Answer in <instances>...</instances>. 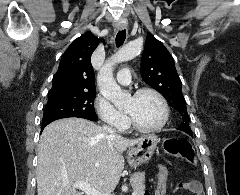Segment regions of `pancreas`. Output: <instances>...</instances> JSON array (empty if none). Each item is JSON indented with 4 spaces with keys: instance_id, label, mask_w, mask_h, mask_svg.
Returning a JSON list of instances; mask_svg holds the SVG:
<instances>
[{
    "instance_id": "cf45deb5",
    "label": "pancreas",
    "mask_w": 240,
    "mask_h": 195,
    "mask_svg": "<svg viewBox=\"0 0 240 195\" xmlns=\"http://www.w3.org/2000/svg\"><path fill=\"white\" fill-rule=\"evenodd\" d=\"M145 173L144 171H137L134 173L133 177H130V183L133 187V191L137 193V195H143L145 191Z\"/></svg>"
}]
</instances>
